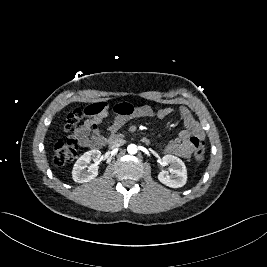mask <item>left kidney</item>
I'll return each instance as SVG.
<instances>
[{"mask_svg":"<svg viewBox=\"0 0 267 267\" xmlns=\"http://www.w3.org/2000/svg\"><path fill=\"white\" fill-rule=\"evenodd\" d=\"M163 166L170 165V170H161L158 174V179L161 183L171 188H179L186 184L187 169L184 162L173 155H165L162 158Z\"/></svg>","mask_w":267,"mask_h":267,"instance_id":"1","label":"left kidney"}]
</instances>
